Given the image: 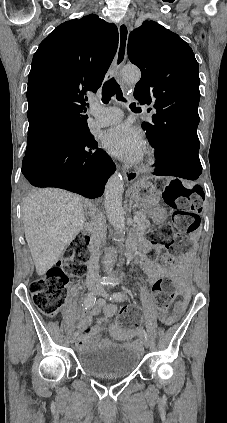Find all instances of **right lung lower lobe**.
I'll list each match as a JSON object with an SVG mask.
<instances>
[{"label": "right lung lower lobe", "mask_w": 227, "mask_h": 423, "mask_svg": "<svg viewBox=\"0 0 227 423\" xmlns=\"http://www.w3.org/2000/svg\"><path fill=\"white\" fill-rule=\"evenodd\" d=\"M115 169L90 132L26 154L22 163L33 186L62 188L91 199L103 194Z\"/></svg>", "instance_id": "98d812e1"}]
</instances>
